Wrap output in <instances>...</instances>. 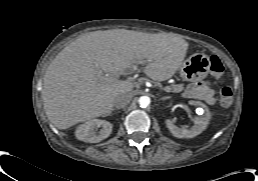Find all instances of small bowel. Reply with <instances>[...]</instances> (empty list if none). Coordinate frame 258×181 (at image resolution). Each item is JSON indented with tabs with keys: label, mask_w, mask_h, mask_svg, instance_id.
Masks as SVG:
<instances>
[{
	"label": "small bowel",
	"mask_w": 258,
	"mask_h": 181,
	"mask_svg": "<svg viewBox=\"0 0 258 181\" xmlns=\"http://www.w3.org/2000/svg\"><path fill=\"white\" fill-rule=\"evenodd\" d=\"M185 96L203 100L209 105H213L216 102L215 92L208 82L190 84L185 90Z\"/></svg>",
	"instance_id": "obj_1"
}]
</instances>
